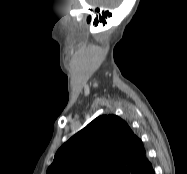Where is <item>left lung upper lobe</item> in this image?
Segmentation results:
<instances>
[{
	"label": "left lung upper lobe",
	"instance_id": "left-lung-upper-lobe-1",
	"mask_svg": "<svg viewBox=\"0 0 187 174\" xmlns=\"http://www.w3.org/2000/svg\"><path fill=\"white\" fill-rule=\"evenodd\" d=\"M150 166L142 141L115 115H102L56 152L47 174H132Z\"/></svg>",
	"mask_w": 187,
	"mask_h": 174
}]
</instances>
